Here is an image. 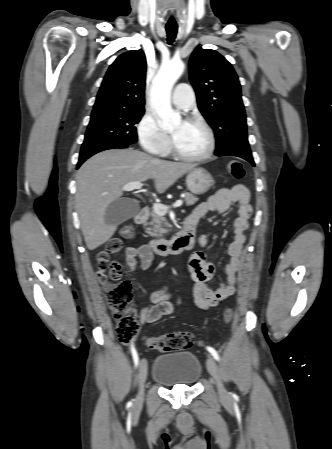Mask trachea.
<instances>
[{
	"label": "trachea",
	"instance_id": "3493384b",
	"mask_svg": "<svg viewBox=\"0 0 332 449\" xmlns=\"http://www.w3.org/2000/svg\"><path fill=\"white\" fill-rule=\"evenodd\" d=\"M177 30H178L177 26H166L168 44H172L174 42Z\"/></svg>",
	"mask_w": 332,
	"mask_h": 449
}]
</instances>
